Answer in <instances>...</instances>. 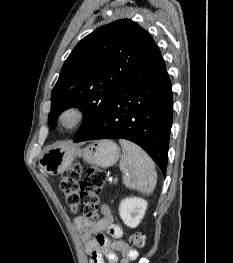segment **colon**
<instances>
[{
  "label": "colon",
  "mask_w": 233,
  "mask_h": 263,
  "mask_svg": "<svg viewBox=\"0 0 233 263\" xmlns=\"http://www.w3.org/2000/svg\"><path fill=\"white\" fill-rule=\"evenodd\" d=\"M106 182L104 171L97 167H89L84 172L79 163H75L63 173L60 189L64 193L67 205L73 210H79L82 217L88 221L99 220L98 196ZM130 242L136 249L145 247V236L134 233Z\"/></svg>",
  "instance_id": "5ec220e1"
}]
</instances>
